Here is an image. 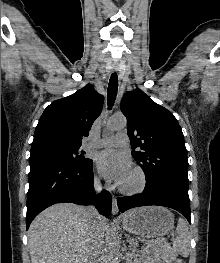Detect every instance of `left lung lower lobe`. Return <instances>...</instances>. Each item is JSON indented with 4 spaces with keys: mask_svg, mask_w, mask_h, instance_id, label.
<instances>
[{
    "mask_svg": "<svg viewBox=\"0 0 220 263\" xmlns=\"http://www.w3.org/2000/svg\"><path fill=\"white\" fill-rule=\"evenodd\" d=\"M117 202L120 212L147 205L169 207L180 212L191 223L188 186L171 179H157L146 183L140 195L119 197Z\"/></svg>",
    "mask_w": 220,
    "mask_h": 263,
    "instance_id": "left-lung-lower-lobe-1",
    "label": "left lung lower lobe"
}]
</instances>
